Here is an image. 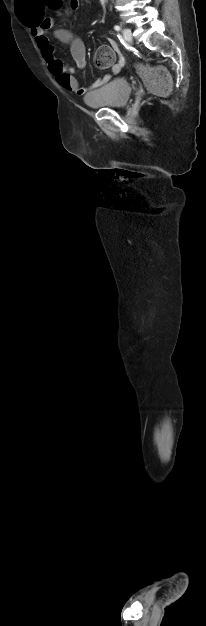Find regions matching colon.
Here are the masks:
<instances>
[{
  "instance_id": "obj_1",
  "label": "colon",
  "mask_w": 206,
  "mask_h": 626,
  "mask_svg": "<svg viewBox=\"0 0 206 626\" xmlns=\"http://www.w3.org/2000/svg\"><path fill=\"white\" fill-rule=\"evenodd\" d=\"M47 4L51 7H57L60 5L61 0H46ZM27 25L33 24L29 19L26 21ZM115 59V52L108 45H102L98 48L95 56V65L99 69L109 68ZM137 70L141 78L143 79L148 90L159 96L167 94L171 89V77L169 73L160 66H148L138 65Z\"/></svg>"
}]
</instances>
